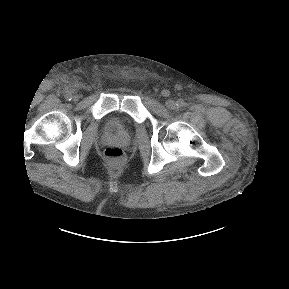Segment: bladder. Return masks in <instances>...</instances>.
I'll list each match as a JSON object with an SVG mask.
<instances>
[{
	"label": "bladder",
	"instance_id": "1",
	"mask_svg": "<svg viewBox=\"0 0 289 289\" xmlns=\"http://www.w3.org/2000/svg\"><path fill=\"white\" fill-rule=\"evenodd\" d=\"M106 130L111 135H120L127 132L128 127L117 118H110L106 123Z\"/></svg>",
	"mask_w": 289,
	"mask_h": 289
}]
</instances>
